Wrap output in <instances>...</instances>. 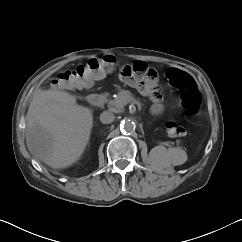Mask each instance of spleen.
<instances>
[{"mask_svg":"<svg viewBox=\"0 0 242 242\" xmlns=\"http://www.w3.org/2000/svg\"><path fill=\"white\" fill-rule=\"evenodd\" d=\"M176 150L177 149L174 148L167 150V152L161 157L160 165L163 167H169L171 163L175 161V157L177 156Z\"/></svg>","mask_w":242,"mask_h":242,"instance_id":"obj_1","label":"spleen"}]
</instances>
